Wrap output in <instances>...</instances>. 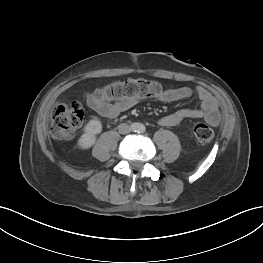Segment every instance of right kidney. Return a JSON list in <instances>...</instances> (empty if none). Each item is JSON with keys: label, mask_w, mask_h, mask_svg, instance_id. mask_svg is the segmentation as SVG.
Masks as SVG:
<instances>
[{"label": "right kidney", "mask_w": 263, "mask_h": 263, "mask_svg": "<svg viewBox=\"0 0 263 263\" xmlns=\"http://www.w3.org/2000/svg\"><path fill=\"white\" fill-rule=\"evenodd\" d=\"M101 131V122L97 119L90 120L84 128V133L78 140L79 146L83 149H88L93 146L96 141V135L101 133Z\"/></svg>", "instance_id": "1"}]
</instances>
